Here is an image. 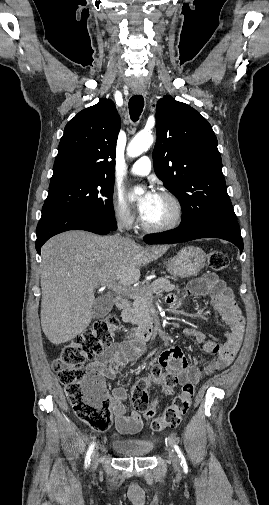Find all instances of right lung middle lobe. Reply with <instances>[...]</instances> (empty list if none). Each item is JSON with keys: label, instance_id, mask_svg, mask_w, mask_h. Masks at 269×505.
<instances>
[{"label": "right lung middle lobe", "instance_id": "dd1d6c3e", "mask_svg": "<svg viewBox=\"0 0 269 505\" xmlns=\"http://www.w3.org/2000/svg\"><path fill=\"white\" fill-rule=\"evenodd\" d=\"M113 189L114 180L80 181L49 188L42 216L66 211L88 217L115 230Z\"/></svg>", "mask_w": 269, "mask_h": 505}]
</instances>
